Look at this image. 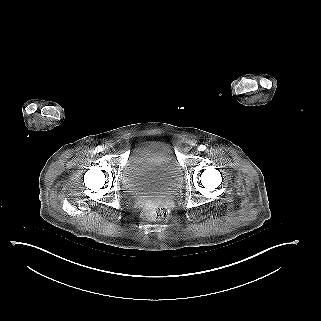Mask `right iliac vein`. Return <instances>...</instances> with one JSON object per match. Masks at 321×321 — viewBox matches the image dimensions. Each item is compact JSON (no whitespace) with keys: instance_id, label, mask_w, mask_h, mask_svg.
I'll return each mask as SVG.
<instances>
[{"instance_id":"1","label":"right iliac vein","mask_w":321,"mask_h":321,"mask_svg":"<svg viewBox=\"0 0 321 321\" xmlns=\"http://www.w3.org/2000/svg\"><path fill=\"white\" fill-rule=\"evenodd\" d=\"M108 150V147L106 146L105 148H104V151H107Z\"/></svg>"}]
</instances>
